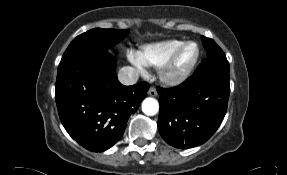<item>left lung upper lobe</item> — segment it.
<instances>
[{"instance_id":"1","label":"left lung upper lobe","mask_w":287,"mask_h":175,"mask_svg":"<svg viewBox=\"0 0 287 175\" xmlns=\"http://www.w3.org/2000/svg\"><path fill=\"white\" fill-rule=\"evenodd\" d=\"M207 51V59L203 60L194 72V77L220 74L229 77V62L223 50L210 38L202 36Z\"/></svg>"}]
</instances>
